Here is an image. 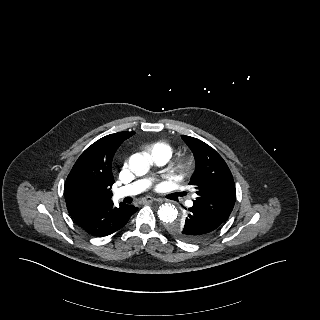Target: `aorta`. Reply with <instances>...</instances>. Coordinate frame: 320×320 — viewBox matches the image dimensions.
I'll return each mask as SVG.
<instances>
[{
  "label": "aorta",
  "instance_id": "obj_1",
  "mask_svg": "<svg viewBox=\"0 0 320 320\" xmlns=\"http://www.w3.org/2000/svg\"><path fill=\"white\" fill-rule=\"evenodd\" d=\"M129 168L137 176H143L150 170L149 161L141 154H133L129 159ZM178 211L174 205L164 204L158 209L159 219L168 224L176 220Z\"/></svg>",
  "mask_w": 320,
  "mask_h": 320
}]
</instances>
